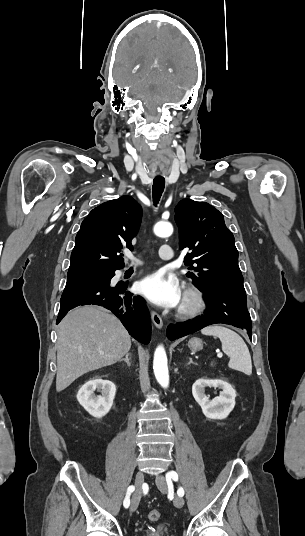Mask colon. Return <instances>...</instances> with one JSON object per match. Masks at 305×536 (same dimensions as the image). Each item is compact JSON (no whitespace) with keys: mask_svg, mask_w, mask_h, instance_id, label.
Wrapping results in <instances>:
<instances>
[{"mask_svg":"<svg viewBox=\"0 0 305 536\" xmlns=\"http://www.w3.org/2000/svg\"><path fill=\"white\" fill-rule=\"evenodd\" d=\"M160 518V512L156 509L150 511L148 513V519L151 521H157Z\"/></svg>","mask_w":305,"mask_h":536,"instance_id":"1","label":"colon"}]
</instances>
